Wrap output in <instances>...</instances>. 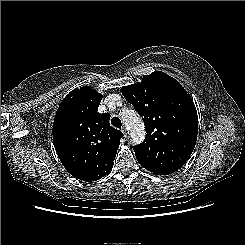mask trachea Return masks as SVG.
<instances>
[{
    "label": "trachea",
    "instance_id": "obj_1",
    "mask_svg": "<svg viewBox=\"0 0 245 245\" xmlns=\"http://www.w3.org/2000/svg\"><path fill=\"white\" fill-rule=\"evenodd\" d=\"M111 124L116 128H121V120L118 117H113L111 120Z\"/></svg>",
    "mask_w": 245,
    "mask_h": 245
}]
</instances>
